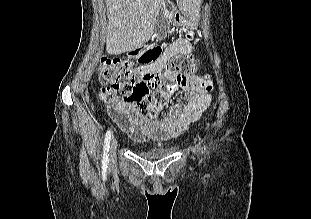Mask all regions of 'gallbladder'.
<instances>
[{"mask_svg": "<svg viewBox=\"0 0 311 219\" xmlns=\"http://www.w3.org/2000/svg\"><path fill=\"white\" fill-rule=\"evenodd\" d=\"M156 25L161 39H164L167 36L169 30V23L165 20L162 14L157 17Z\"/></svg>", "mask_w": 311, "mask_h": 219, "instance_id": "gallbladder-1", "label": "gallbladder"}]
</instances>
